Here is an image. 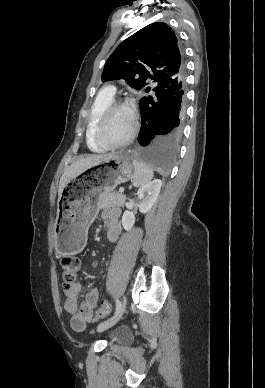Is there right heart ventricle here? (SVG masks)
Segmentation results:
<instances>
[{
    "label": "right heart ventricle",
    "mask_w": 265,
    "mask_h": 388,
    "mask_svg": "<svg viewBox=\"0 0 265 388\" xmlns=\"http://www.w3.org/2000/svg\"><path fill=\"white\" fill-rule=\"evenodd\" d=\"M114 101V92L113 91H101V94L94 102L90 116L88 119L86 138L87 143L90 149L93 151H103L105 148L99 145L94 139V125L100 114V112L106 107L108 104Z\"/></svg>",
    "instance_id": "1"
}]
</instances>
